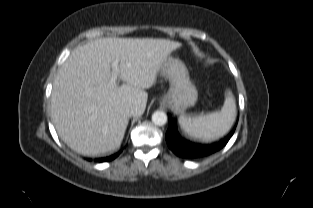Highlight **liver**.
<instances>
[{
    "label": "liver",
    "instance_id": "6515ba94",
    "mask_svg": "<svg viewBox=\"0 0 313 208\" xmlns=\"http://www.w3.org/2000/svg\"><path fill=\"white\" fill-rule=\"evenodd\" d=\"M182 44L168 39L100 38L74 49L57 72L51 94L53 122L60 138L84 156L119 149L129 117L121 105L133 103L141 116L164 60ZM125 83L111 84L112 62Z\"/></svg>",
    "mask_w": 313,
    "mask_h": 208
}]
</instances>
